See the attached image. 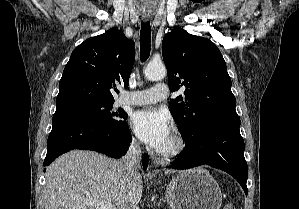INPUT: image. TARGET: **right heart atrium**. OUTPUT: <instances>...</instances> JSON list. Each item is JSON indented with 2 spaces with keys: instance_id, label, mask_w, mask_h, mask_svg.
I'll list each match as a JSON object with an SVG mask.
<instances>
[{
  "instance_id": "1",
  "label": "right heart atrium",
  "mask_w": 299,
  "mask_h": 209,
  "mask_svg": "<svg viewBox=\"0 0 299 209\" xmlns=\"http://www.w3.org/2000/svg\"><path fill=\"white\" fill-rule=\"evenodd\" d=\"M130 145H131V147H133V148H138V147H139V143H138V141L136 140V138H134V137L131 139Z\"/></svg>"
}]
</instances>
